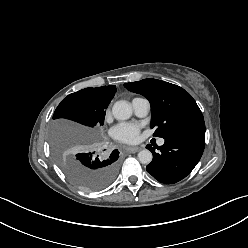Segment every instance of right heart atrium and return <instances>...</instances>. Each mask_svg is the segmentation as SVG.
Segmentation results:
<instances>
[{
	"label": "right heart atrium",
	"instance_id": "1",
	"mask_svg": "<svg viewBox=\"0 0 248 248\" xmlns=\"http://www.w3.org/2000/svg\"><path fill=\"white\" fill-rule=\"evenodd\" d=\"M109 113H110V112H109V111H107V115H109Z\"/></svg>",
	"mask_w": 248,
	"mask_h": 248
}]
</instances>
